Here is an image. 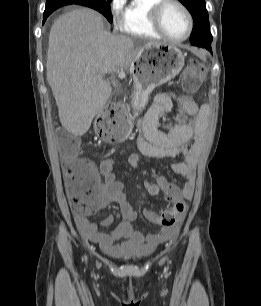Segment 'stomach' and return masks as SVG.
<instances>
[{"mask_svg": "<svg viewBox=\"0 0 261 306\" xmlns=\"http://www.w3.org/2000/svg\"><path fill=\"white\" fill-rule=\"evenodd\" d=\"M135 88L132 107L137 114L148 102L155 87L175 78L184 66V56L179 48L170 44L152 45L143 49L132 63ZM128 131L133 127V116L127 112Z\"/></svg>", "mask_w": 261, "mask_h": 306, "instance_id": "0dacf381", "label": "stomach"}]
</instances>
